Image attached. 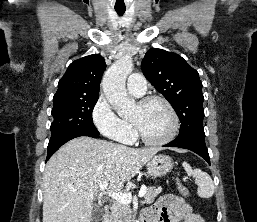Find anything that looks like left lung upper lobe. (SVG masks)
I'll list each match as a JSON object with an SVG mask.
<instances>
[{"instance_id":"obj_1","label":"left lung upper lobe","mask_w":257,"mask_h":222,"mask_svg":"<svg viewBox=\"0 0 257 222\" xmlns=\"http://www.w3.org/2000/svg\"><path fill=\"white\" fill-rule=\"evenodd\" d=\"M141 69L176 111L181 122L177 139L205 138L204 97L198 72L180 55L156 48L147 51Z\"/></svg>"}]
</instances>
